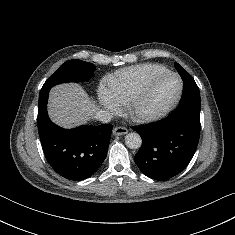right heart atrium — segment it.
Listing matches in <instances>:
<instances>
[{"mask_svg":"<svg viewBox=\"0 0 235 235\" xmlns=\"http://www.w3.org/2000/svg\"><path fill=\"white\" fill-rule=\"evenodd\" d=\"M99 99L104 107H106L111 112H117L119 107L115 100L110 96L107 90L101 88L99 90Z\"/></svg>","mask_w":235,"mask_h":235,"instance_id":"right-heart-atrium-1","label":"right heart atrium"}]
</instances>
